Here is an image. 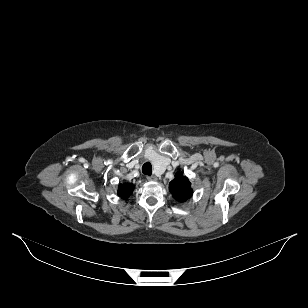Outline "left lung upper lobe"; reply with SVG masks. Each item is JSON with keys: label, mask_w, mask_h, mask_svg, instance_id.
Here are the masks:
<instances>
[{"label": "left lung upper lobe", "mask_w": 308, "mask_h": 308, "mask_svg": "<svg viewBox=\"0 0 308 308\" xmlns=\"http://www.w3.org/2000/svg\"><path fill=\"white\" fill-rule=\"evenodd\" d=\"M169 189L173 197L180 202L192 196L191 184L181 172L176 173L175 178L170 182Z\"/></svg>", "instance_id": "5c2ea615"}]
</instances>
